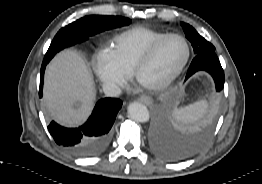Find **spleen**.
Listing matches in <instances>:
<instances>
[{"label": "spleen", "instance_id": "obj_1", "mask_svg": "<svg viewBox=\"0 0 262 184\" xmlns=\"http://www.w3.org/2000/svg\"><path fill=\"white\" fill-rule=\"evenodd\" d=\"M207 108V101L201 100L186 107L174 109L173 117L178 122H191L201 117L206 112Z\"/></svg>", "mask_w": 262, "mask_h": 184}]
</instances>
